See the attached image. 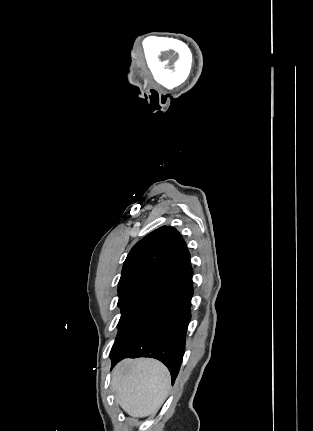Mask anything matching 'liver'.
<instances>
[{"label": "liver", "mask_w": 313, "mask_h": 431, "mask_svg": "<svg viewBox=\"0 0 313 431\" xmlns=\"http://www.w3.org/2000/svg\"><path fill=\"white\" fill-rule=\"evenodd\" d=\"M112 387L122 409L143 418L156 413L165 401L170 373L155 359H125L113 370Z\"/></svg>", "instance_id": "obj_1"}]
</instances>
